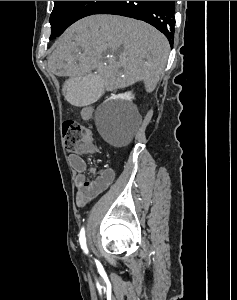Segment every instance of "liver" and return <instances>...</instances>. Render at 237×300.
Returning a JSON list of instances; mask_svg holds the SVG:
<instances>
[{
  "label": "liver",
  "mask_w": 237,
  "mask_h": 300,
  "mask_svg": "<svg viewBox=\"0 0 237 300\" xmlns=\"http://www.w3.org/2000/svg\"><path fill=\"white\" fill-rule=\"evenodd\" d=\"M56 45L48 59L54 75L82 76L96 69L105 78L106 91L143 81L146 93L160 81L170 49L166 37L151 25L117 15L85 17Z\"/></svg>",
  "instance_id": "liver-1"
}]
</instances>
